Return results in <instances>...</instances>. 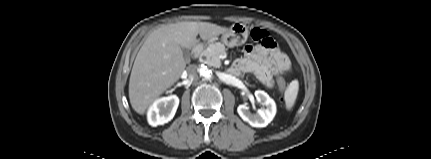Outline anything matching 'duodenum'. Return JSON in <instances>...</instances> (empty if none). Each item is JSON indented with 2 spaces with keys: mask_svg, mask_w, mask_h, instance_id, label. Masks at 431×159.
Here are the masks:
<instances>
[{
  "mask_svg": "<svg viewBox=\"0 0 431 159\" xmlns=\"http://www.w3.org/2000/svg\"><path fill=\"white\" fill-rule=\"evenodd\" d=\"M202 49H203L202 43L196 44L191 51L192 57L197 58L199 56V54L201 53Z\"/></svg>",
  "mask_w": 431,
  "mask_h": 159,
  "instance_id": "1",
  "label": "duodenum"
}]
</instances>
